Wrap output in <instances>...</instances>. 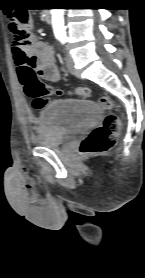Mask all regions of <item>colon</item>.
I'll return each instance as SVG.
<instances>
[{
    "label": "colon",
    "mask_w": 145,
    "mask_h": 278,
    "mask_svg": "<svg viewBox=\"0 0 145 278\" xmlns=\"http://www.w3.org/2000/svg\"><path fill=\"white\" fill-rule=\"evenodd\" d=\"M8 27L14 37V41L24 50L32 49L30 32V15L25 10H17L7 17ZM22 88L30 98L35 109L40 110L49 101L50 96H61L64 92L43 83L34 73H28L22 79ZM74 93L83 99L91 94L89 87H78ZM100 104L106 109H112L114 102L108 96L100 98ZM120 119L115 114L107 115L103 122L93 128L88 136L81 142L79 150L83 155L91 156L108 151L116 142L120 129Z\"/></svg>",
    "instance_id": "1"
}]
</instances>
